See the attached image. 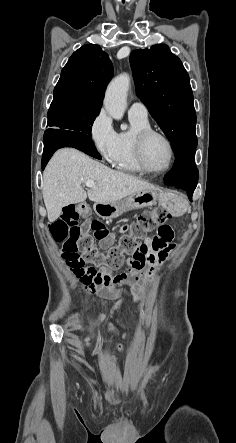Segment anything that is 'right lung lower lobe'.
<instances>
[{
	"label": "right lung lower lobe",
	"mask_w": 236,
	"mask_h": 443,
	"mask_svg": "<svg viewBox=\"0 0 236 443\" xmlns=\"http://www.w3.org/2000/svg\"><path fill=\"white\" fill-rule=\"evenodd\" d=\"M62 147H74L92 157L101 159V156L97 152L92 141H88L87 139L81 137L66 135L59 132H50V133L45 132L42 170H44L47 162L49 161L53 153L57 149Z\"/></svg>",
	"instance_id": "1"
}]
</instances>
